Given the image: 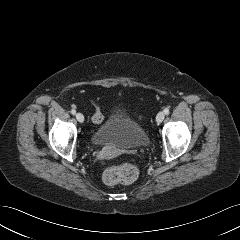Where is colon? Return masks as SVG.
<instances>
[{
  "mask_svg": "<svg viewBox=\"0 0 240 240\" xmlns=\"http://www.w3.org/2000/svg\"><path fill=\"white\" fill-rule=\"evenodd\" d=\"M92 120L96 124H100L104 120V117L96 104H94ZM138 176V167L131 162H125L120 165L108 167L103 173V181L108 185H116L119 183L129 184L134 182Z\"/></svg>",
  "mask_w": 240,
  "mask_h": 240,
  "instance_id": "5ec220e1",
  "label": "colon"
}]
</instances>
